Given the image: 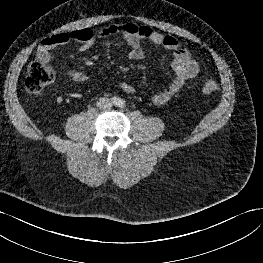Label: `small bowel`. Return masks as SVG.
<instances>
[{
  "label": "small bowel",
  "mask_w": 263,
  "mask_h": 263,
  "mask_svg": "<svg viewBox=\"0 0 263 263\" xmlns=\"http://www.w3.org/2000/svg\"><path fill=\"white\" fill-rule=\"evenodd\" d=\"M110 36L122 37L129 46V58L140 60L144 57L142 42L148 41L152 44L162 46L173 56L172 69L173 80L162 91L152 95L151 99L156 105L166 104L190 79L199 72V65L192 57L190 51L181 47L177 38L171 35H163L146 26H138L133 23H117L101 28L97 32L90 29H79L71 32H62L46 37L38 47L37 55L45 63L52 61L51 51L57 46L65 45L75 41L80 43L81 51L88 50L97 39ZM67 76L76 83H84L86 75L77 69H67ZM121 90L126 93H135L136 88L128 82L119 84Z\"/></svg>",
  "instance_id": "1"
}]
</instances>
